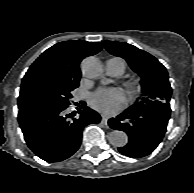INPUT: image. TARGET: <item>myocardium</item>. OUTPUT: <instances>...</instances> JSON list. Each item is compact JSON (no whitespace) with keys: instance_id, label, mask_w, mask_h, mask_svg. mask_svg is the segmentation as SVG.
<instances>
[{"instance_id":"f54148a6","label":"myocardium","mask_w":194,"mask_h":193,"mask_svg":"<svg viewBox=\"0 0 194 193\" xmlns=\"http://www.w3.org/2000/svg\"><path fill=\"white\" fill-rule=\"evenodd\" d=\"M127 87H128V91H129L130 97H134L141 90V85H140L139 82H130L127 85Z\"/></svg>"}]
</instances>
